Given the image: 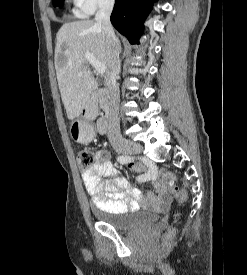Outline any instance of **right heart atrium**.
<instances>
[{"mask_svg": "<svg viewBox=\"0 0 247 275\" xmlns=\"http://www.w3.org/2000/svg\"><path fill=\"white\" fill-rule=\"evenodd\" d=\"M115 0H73L74 13L79 17H86L99 9L113 6Z\"/></svg>", "mask_w": 247, "mask_h": 275, "instance_id": "1", "label": "right heart atrium"}]
</instances>
